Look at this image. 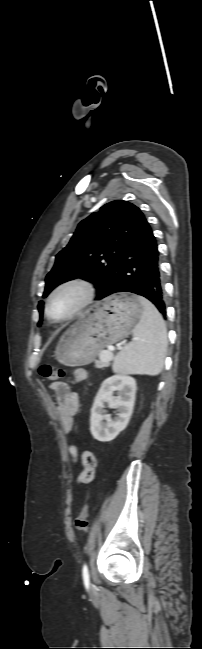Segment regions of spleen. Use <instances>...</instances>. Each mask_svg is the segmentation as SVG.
Returning <instances> with one entry per match:
<instances>
[{"label":"spleen","instance_id":"spleen-1","mask_svg":"<svg viewBox=\"0 0 202 649\" xmlns=\"http://www.w3.org/2000/svg\"><path fill=\"white\" fill-rule=\"evenodd\" d=\"M143 313L133 329V341L116 356L113 371L121 374L157 375L161 372L167 349V330L156 307L139 297Z\"/></svg>","mask_w":202,"mask_h":649}]
</instances>
